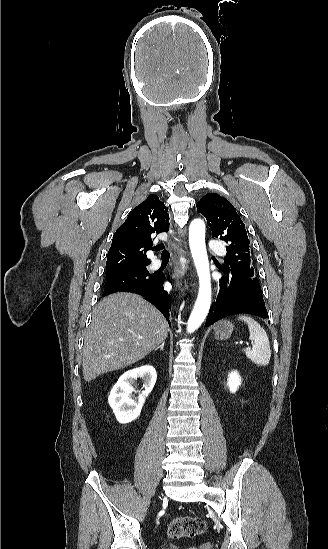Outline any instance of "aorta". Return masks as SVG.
<instances>
[{"label": "aorta", "mask_w": 328, "mask_h": 549, "mask_svg": "<svg viewBox=\"0 0 328 549\" xmlns=\"http://www.w3.org/2000/svg\"><path fill=\"white\" fill-rule=\"evenodd\" d=\"M189 244L199 277L197 300L187 322V331L192 333L201 326L211 305V279L205 245V224L201 219H195L190 224Z\"/></svg>", "instance_id": "aorta-1"}]
</instances>
